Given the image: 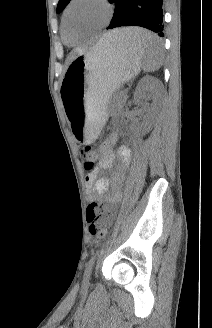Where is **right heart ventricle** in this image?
<instances>
[{
  "label": "right heart ventricle",
  "mask_w": 212,
  "mask_h": 328,
  "mask_svg": "<svg viewBox=\"0 0 212 328\" xmlns=\"http://www.w3.org/2000/svg\"><path fill=\"white\" fill-rule=\"evenodd\" d=\"M62 34H63V39L65 41V43L69 44V45H73L77 42L78 37L71 34L69 31L65 30L63 22H62Z\"/></svg>",
  "instance_id": "e07e8e85"
}]
</instances>
